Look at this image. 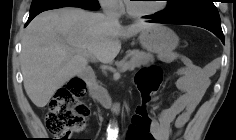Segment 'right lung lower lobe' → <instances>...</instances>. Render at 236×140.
<instances>
[{
    "label": "right lung lower lobe",
    "mask_w": 236,
    "mask_h": 140,
    "mask_svg": "<svg viewBox=\"0 0 236 140\" xmlns=\"http://www.w3.org/2000/svg\"><path fill=\"white\" fill-rule=\"evenodd\" d=\"M54 9H56V8H54ZM47 10H50V9H47ZM43 11H46V10H40V11H36V12L30 13L29 18H28V20H27L25 26L28 25L29 22H30L35 16H37L39 13H41V12H43Z\"/></svg>",
    "instance_id": "obj_1"
}]
</instances>
